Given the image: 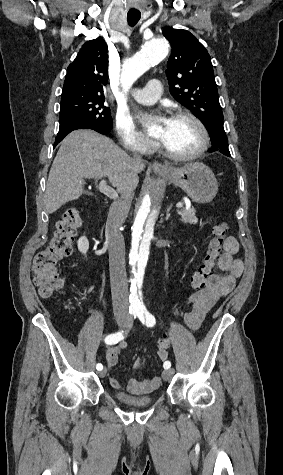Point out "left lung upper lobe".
<instances>
[{"label": "left lung upper lobe", "mask_w": 283, "mask_h": 475, "mask_svg": "<svg viewBox=\"0 0 283 475\" xmlns=\"http://www.w3.org/2000/svg\"><path fill=\"white\" fill-rule=\"evenodd\" d=\"M172 52L167 62L170 93L198 117L208 132L224 130L210 55L186 30L165 27Z\"/></svg>", "instance_id": "left-lung-upper-lobe-1"}]
</instances>
